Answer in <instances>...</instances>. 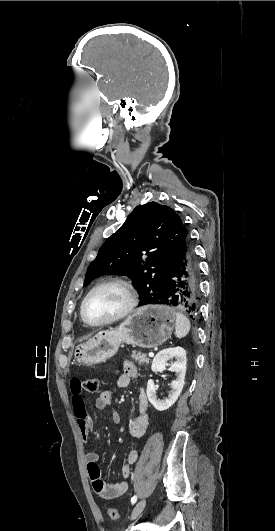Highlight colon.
<instances>
[{"label":"colon","instance_id":"5ec220e1","mask_svg":"<svg viewBox=\"0 0 275 531\" xmlns=\"http://www.w3.org/2000/svg\"><path fill=\"white\" fill-rule=\"evenodd\" d=\"M82 390L83 392L88 393H95L99 390V383L97 378H86L85 381L82 383ZM110 518L113 523H116L118 521V512L114 509H111L110 512Z\"/></svg>","mask_w":275,"mask_h":531}]
</instances>
